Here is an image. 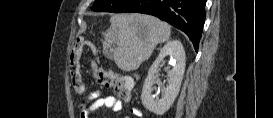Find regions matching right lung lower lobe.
I'll return each instance as SVG.
<instances>
[{
  "mask_svg": "<svg viewBox=\"0 0 273 118\" xmlns=\"http://www.w3.org/2000/svg\"><path fill=\"white\" fill-rule=\"evenodd\" d=\"M206 0H129L116 12L156 16L187 34L198 51L205 22Z\"/></svg>",
  "mask_w": 273,
  "mask_h": 118,
  "instance_id": "1",
  "label": "right lung lower lobe"
}]
</instances>
